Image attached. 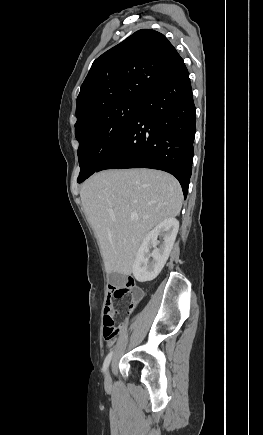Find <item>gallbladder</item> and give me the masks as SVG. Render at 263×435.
<instances>
[{"label":"gallbladder","mask_w":263,"mask_h":435,"mask_svg":"<svg viewBox=\"0 0 263 435\" xmlns=\"http://www.w3.org/2000/svg\"><path fill=\"white\" fill-rule=\"evenodd\" d=\"M108 280L111 285L119 287L124 285L126 281V276L116 272H112L109 274Z\"/></svg>","instance_id":"obj_1"}]
</instances>
